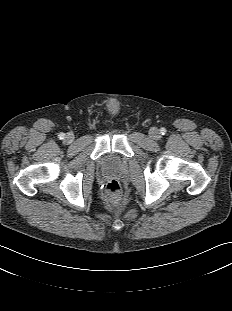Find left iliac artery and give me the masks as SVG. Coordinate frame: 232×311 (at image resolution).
Here are the masks:
<instances>
[{
	"instance_id": "1",
	"label": "left iliac artery",
	"mask_w": 232,
	"mask_h": 311,
	"mask_svg": "<svg viewBox=\"0 0 232 311\" xmlns=\"http://www.w3.org/2000/svg\"><path fill=\"white\" fill-rule=\"evenodd\" d=\"M160 133H161L162 135H164V134L166 133V129H165V128H161V129H160Z\"/></svg>"
}]
</instances>
